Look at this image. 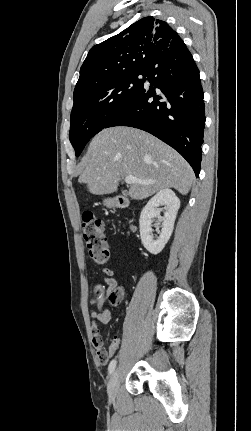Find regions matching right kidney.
Here are the masks:
<instances>
[{
	"label": "right kidney",
	"mask_w": 251,
	"mask_h": 431,
	"mask_svg": "<svg viewBox=\"0 0 251 431\" xmlns=\"http://www.w3.org/2000/svg\"><path fill=\"white\" fill-rule=\"evenodd\" d=\"M164 205L165 213L161 217L159 206ZM180 200L176 194L169 188L160 190L152 197L147 205L143 208L140 215V236L143 246L151 254H159L167 244L174 229V223ZM158 218L162 222V229L159 237L155 240L152 235V222L154 218Z\"/></svg>",
	"instance_id": "ca27d5eb"
}]
</instances>
